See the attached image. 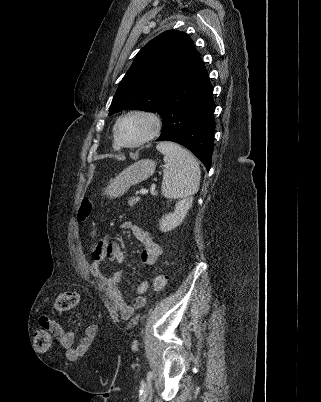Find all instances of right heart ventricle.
<instances>
[{"instance_id":"e07e8e85","label":"right heart ventricle","mask_w":321,"mask_h":402,"mask_svg":"<svg viewBox=\"0 0 321 402\" xmlns=\"http://www.w3.org/2000/svg\"><path fill=\"white\" fill-rule=\"evenodd\" d=\"M113 147H114V149L115 150H118L120 147L117 145V143L115 142V140H114V142H113Z\"/></svg>"}]
</instances>
